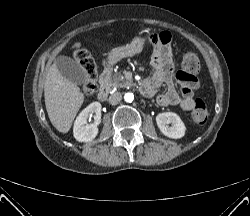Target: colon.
<instances>
[{"mask_svg":"<svg viewBox=\"0 0 250 216\" xmlns=\"http://www.w3.org/2000/svg\"><path fill=\"white\" fill-rule=\"evenodd\" d=\"M74 57L81 65L86 74V82L83 91L87 96L96 91V66L90 53L78 47L74 51ZM182 73L186 76H195L200 70V61L197 55L189 49H185L181 54ZM208 119V110L201 99L195 100L194 108L191 112V120L196 125H203Z\"/></svg>","mask_w":250,"mask_h":216,"instance_id":"obj_1","label":"colon"}]
</instances>
